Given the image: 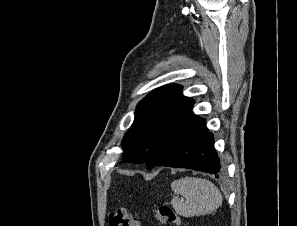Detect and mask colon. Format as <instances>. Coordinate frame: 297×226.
<instances>
[{"mask_svg":"<svg viewBox=\"0 0 297 226\" xmlns=\"http://www.w3.org/2000/svg\"><path fill=\"white\" fill-rule=\"evenodd\" d=\"M156 219L163 224L182 226V222L173 209L165 204L160 205L155 211ZM110 226H140L137 215L129 212L126 208L118 207L109 215Z\"/></svg>","mask_w":297,"mask_h":226,"instance_id":"5ec220e1","label":"colon"}]
</instances>
